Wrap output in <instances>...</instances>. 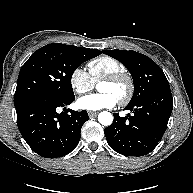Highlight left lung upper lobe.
Returning a JSON list of instances; mask_svg holds the SVG:
<instances>
[{
  "label": "left lung upper lobe",
  "mask_w": 193,
  "mask_h": 193,
  "mask_svg": "<svg viewBox=\"0 0 193 193\" xmlns=\"http://www.w3.org/2000/svg\"><path fill=\"white\" fill-rule=\"evenodd\" d=\"M103 53L123 63L131 73L134 94L129 105L141 101L162 86L169 84L162 69L141 53L125 50H103Z\"/></svg>",
  "instance_id": "obj_1"
}]
</instances>
